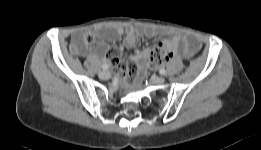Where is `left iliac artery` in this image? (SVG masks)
<instances>
[{"mask_svg": "<svg viewBox=\"0 0 261 150\" xmlns=\"http://www.w3.org/2000/svg\"><path fill=\"white\" fill-rule=\"evenodd\" d=\"M159 73L162 74V75H165L166 74V70L164 68H162V69H160Z\"/></svg>", "mask_w": 261, "mask_h": 150, "instance_id": "1", "label": "left iliac artery"}]
</instances>
